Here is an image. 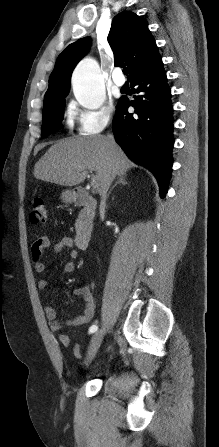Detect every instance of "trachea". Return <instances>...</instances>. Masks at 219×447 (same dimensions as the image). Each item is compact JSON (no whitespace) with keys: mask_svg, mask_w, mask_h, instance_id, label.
Returning a JSON list of instances; mask_svg holds the SVG:
<instances>
[{"mask_svg":"<svg viewBox=\"0 0 219 447\" xmlns=\"http://www.w3.org/2000/svg\"><path fill=\"white\" fill-rule=\"evenodd\" d=\"M128 72H129L128 68H127V67H124V68H123V73H124L125 75H127Z\"/></svg>","mask_w":219,"mask_h":447,"instance_id":"3493384b","label":"trachea"}]
</instances>
